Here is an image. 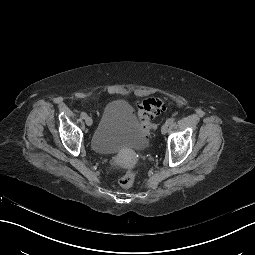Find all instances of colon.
<instances>
[{
	"label": "colon",
	"instance_id": "1",
	"mask_svg": "<svg viewBox=\"0 0 255 255\" xmlns=\"http://www.w3.org/2000/svg\"><path fill=\"white\" fill-rule=\"evenodd\" d=\"M167 108L166 102L161 98H147L138 105V117L145 128L150 127V120L153 116L160 114ZM120 168V167H118ZM119 184L123 188H130L134 185L136 173L133 169H120Z\"/></svg>",
	"mask_w": 255,
	"mask_h": 255
}]
</instances>
